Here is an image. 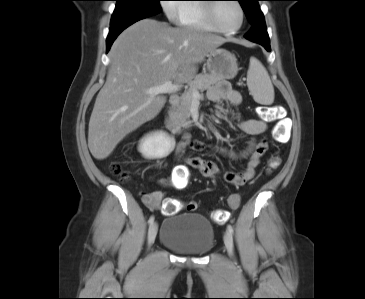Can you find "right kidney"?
<instances>
[{
  "label": "right kidney",
  "mask_w": 365,
  "mask_h": 299,
  "mask_svg": "<svg viewBox=\"0 0 365 299\" xmlns=\"http://www.w3.org/2000/svg\"><path fill=\"white\" fill-rule=\"evenodd\" d=\"M175 143L165 132L158 131L143 138L139 152L147 159H158L168 156L174 149Z\"/></svg>",
  "instance_id": "right-kidney-1"
}]
</instances>
